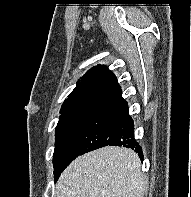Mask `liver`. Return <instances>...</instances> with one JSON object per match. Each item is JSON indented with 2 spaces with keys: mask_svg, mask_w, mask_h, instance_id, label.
I'll use <instances>...</instances> for the list:
<instances>
[{
  "mask_svg": "<svg viewBox=\"0 0 191 197\" xmlns=\"http://www.w3.org/2000/svg\"><path fill=\"white\" fill-rule=\"evenodd\" d=\"M140 159L131 149L107 146L76 158L61 174L56 197H143Z\"/></svg>",
  "mask_w": 191,
  "mask_h": 197,
  "instance_id": "6515ba94",
  "label": "liver"
}]
</instances>
